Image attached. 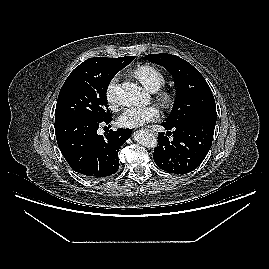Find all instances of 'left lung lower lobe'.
Instances as JSON below:
<instances>
[{
  "label": "left lung lower lobe",
  "instance_id": "left-lung-lower-lobe-1",
  "mask_svg": "<svg viewBox=\"0 0 269 269\" xmlns=\"http://www.w3.org/2000/svg\"><path fill=\"white\" fill-rule=\"evenodd\" d=\"M216 118L204 116L191 119L174 127L166 126L165 133H159L158 146L154 149L153 158L156 165L164 171L175 174H186L193 171L205 159L212 145ZM173 130L171 132L170 130Z\"/></svg>",
  "mask_w": 269,
  "mask_h": 269
}]
</instances>
